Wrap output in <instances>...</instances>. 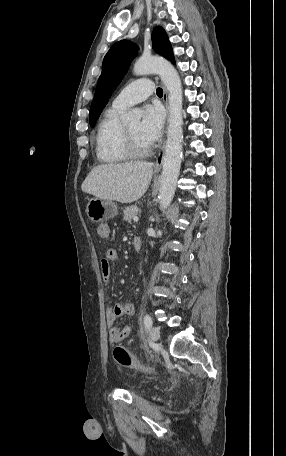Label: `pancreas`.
Instances as JSON below:
<instances>
[{
	"mask_svg": "<svg viewBox=\"0 0 286 456\" xmlns=\"http://www.w3.org/2000/svg\"><path fill=\"white\" fill-rule=\"evenodd\" d=\"M138 207L136 205L129 206L124 210V221L131 222V220L138 214Z\"/></svg>",
	"mask_w": 286,
	"mask_h": 456,
	"instance_id": "pancreas-1",
	"label": "pancreas"
}]
</instances>
